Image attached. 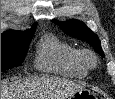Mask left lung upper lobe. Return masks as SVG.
Returning <instances> with one entry per match:
<instances>
[{
	"label": "left lung upper lobe",
	"mask_w": 115,
	"mask_h": 99,
	"mask_svg": "<svg viewBox=\"0 0 115 99\" xmlns=\"http://www.w3.org/2000/svg\"><path fill=\"white\" fill-rule=\"evenodd\" d=\"M53 22L59 25L65 33L91 44L96 52H98L102 57H105L97 35L88 29L84 23L78 20H69L66 22L53 20Z\"/></svg>",
	"instance_id": "left-lung-upper-lobe-1"
}]
</instances>
